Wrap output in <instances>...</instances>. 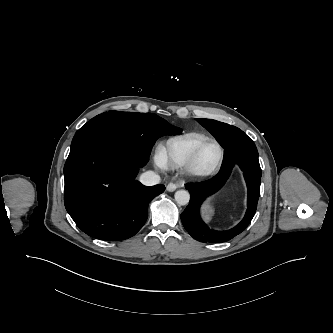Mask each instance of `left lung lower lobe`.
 <instances>
[{"label": "left lung lower lobe", "instance_id": "left-lung-lower-lobe-1", "mask_svg": "<svg viewBox=\"0 0 333 333\" xmlns=\"http://www.w3.org/2000/svg\"><path fill=\"white\" fill-rule=\"evenodd\" d=\"M235 165H238L244 173L248 188V209L242 221L234 228L226 231L210 229L200 217V205L206 197L223 188ZM260 183L261 168L254 142L245 133L234 136L224 148V162L220 171L205 181L186 184L191 198L189 205L181 214L185 229L194 239L200 242L222 243L237 236L246 229L256 213Z\"/></svg>", "mask_w": 333, "mask_h": 333}]
</instances>
